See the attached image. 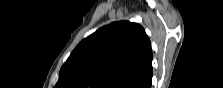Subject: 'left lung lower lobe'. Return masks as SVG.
<instances>
[{"instance_id":"1","label":"left lung lower lobe","mask_w":223,"mask_h":88,"mask_svg":"<svg viewBox=\"0 0 223 88\" xmlns=\"http://www.w3.org/2000/svg\"><path fill=\"white\" fill-rule=\"evenodd\" d=\"M152 74L153 72L137 83L133 88H151Z\"/></svg>"}]
</instances>
